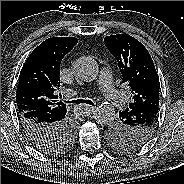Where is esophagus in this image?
<instances>
[{"instance_id":"34e87169","label":"esophagus","mask_w":184,"mask_h":184,"mask_svg":"<svg viewBox=\"0 0 184 184\" xmlns=\"http://www.w3.org/2000/svg\"><path fill=\"white\" fill-rule=\"evenodd\" d=\"M94 110L95 107L89 105L81 106L78 108V111L82 114H91L94 112Z\"/></svg>"}]
</instances>
